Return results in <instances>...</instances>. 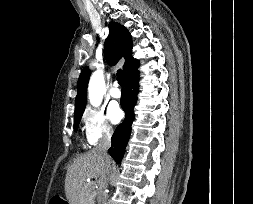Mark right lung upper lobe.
I'll use <instances>...</instances> for the list:
<instances>
[{
	"instance_id": "1",
	"label": "right lung upper lobe",
	"mask_w": 253,
	"mask_h": 204,
	"mask_svg": "<svg viewBox=\"0 0 253 204\" xmlns=\"http://www.w3.org/2000/svg\"><path fill=\"white\" fill-rule=\"evenodd\" d=\"M109 35L105 40L104 54L110 65H115L122 57L125 58L123 66L124 74L134 67L138 60L132 57V41L128 30L119 23L109 24ZM90 77V70L85 67L78 79L77 96L75 101V116L84 112L87 100V85Z\"/></svg>"
}]
</instances>
